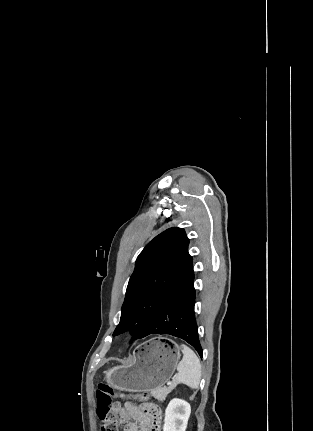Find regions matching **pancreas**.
<instances>
[{
	"label": "pancreas",
	"instance_id": "1",
	"mask_svg": "<svg viewBox=\"0 0 313 431\" xmlns=\"http://www.w3.org/2000/svg\"><path fill=\"white\" fill-rule=\"evenodd\" d=\"M176 387V383L170 384L168 387L156 388L151 390V395L157 400H164L167 395Z\"/></svg>",
	"mask_w": 313,
	"mask_h": 431
}]
</instances>
